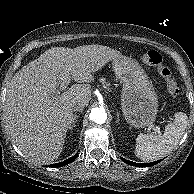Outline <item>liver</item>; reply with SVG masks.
Returning a JSON list of instances; mask_svg holds the SVG:
<instances>
[{
    "instance_id": "6515ba94",
    "label": "liver",
    "mask_w": 194,
    "mask_h": 194,
    "mask_svg": "<svg viewBox=\"0 0 194 194\" xmlns=\"http://www.w3.org/2000/svg\"><path fill=\"white\" fill-rule=\"evenodd\" d=\"M122 56L102 45L54 47L22 67L12 78L3 106L13 144L32 162L50 164L57 159L73 122V104L88 106L91 99L88 84H75L58 94L62 75H71L77 83H91L95 72Z\"/></svg>"
}]
</instances>
